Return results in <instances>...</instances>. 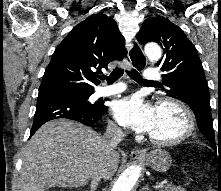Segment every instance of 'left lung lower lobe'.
<instances>
[{"instance_id": "left-lung-lower-lobe-1", "label": "left lung lower lobe", "mask_w": 221, "mask_h": 191, "mask_svg": "<svg viewBox=\"0 0 221 191\" xmlns=\"http://www.w3.org/2000/svg\"><path fill=\"white\" fill-rule=\"evenodd\" d=\"M196 103L198 104V108L200 109L201 113H206L210 110L209 107V97L200 95L197 97Z\"/></svg>"}]
</instances>
